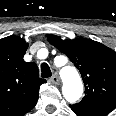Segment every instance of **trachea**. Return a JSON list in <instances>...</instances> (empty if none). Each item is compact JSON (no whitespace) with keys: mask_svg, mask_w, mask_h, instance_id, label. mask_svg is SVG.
Returning a JSON list of instances; mask_svg holds the SVG:
<instances>
[{"mask_svg":"<svg viewBox=\"0 0 116 116\" xmlns=\"http://www.w3.org/2000/svg\"><path fill=\"white\" fill-rule=\"evenodd\" d=\"M52 76V72L50 70V67L48 66L47 63H42L41 64V77L42 78H48Z\"/></svg>","mask_w":116,"mask_h":116,"instance_id":"3493384b","label":"trachea"}]
</instances>
